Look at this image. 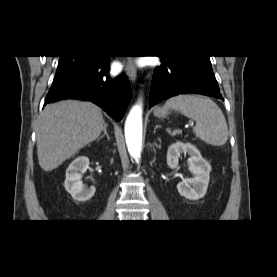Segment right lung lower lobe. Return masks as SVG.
Returning <instances> with one entry per match:
<instances>
[{
  "label": "right lung lower lobe",
  "mask_w": 277,
  "mask_h": 277,
  "mask_svg": "<svg viewBox=\"0 0 277 277\" xmlns=\"http://www.w3.org/2000/svg\"><path fill=\"white\" fill-rule=\"evenodd\" d=\"M110 58L101 57L91 66L54 83L45 98V104L61 99H84L104 109L120 121L131 99L132 90L125 75L113 79L108 75Z\"/></svg>",
  "instance_id": "right-lung-lower-lobe-1"
}]
</instances>
